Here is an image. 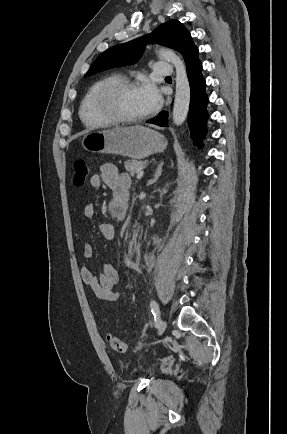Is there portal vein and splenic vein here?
Wrapping results in <instances>:
<instances>
[{
    "mask_svg": "<svg viewBox=\"0 0 287 434\" xmlns=\"http://www.w3.org/2000/svg\"><path fill=\"white\" fill-rule=\"evenodd\" d=\"M143 175H144V171L143 168H141L137 171V179H141Z\"/></svg>",
    "mask_w": 287,
    "mask_h": 434,
    "instance_id": "1",
    "label": "portal vein and splenic vein"
}]
</instances>
